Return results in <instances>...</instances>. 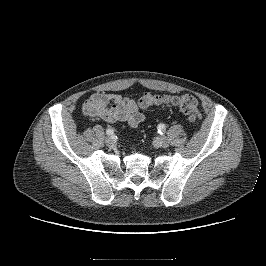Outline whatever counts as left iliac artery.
<instances>
[{"mask_svg": "<svg viewBox=\"0 0 266 266\" xmlns=\"http://www.w3.org/2000/svg\"><path fill=\"white\" fill-rule=\"evenodd\" d=\"M166 131V126L164 124L158 125V133L163 134Z\"/></svg>", "mask_w": 266, "mask_h": 266, "instance_id": "left-iliac-artery-1", "label": "left iliac artery"}]
</instances>
